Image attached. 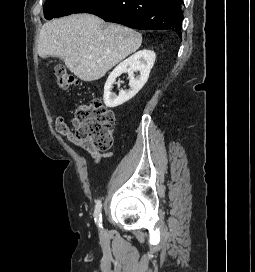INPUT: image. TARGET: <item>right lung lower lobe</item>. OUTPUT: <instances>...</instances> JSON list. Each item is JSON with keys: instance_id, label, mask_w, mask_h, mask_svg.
<instances>
[{"instance_id": "98d812e1", "label": "right lung lower lobe", "mask_w": 255, "mask_h": 272, "mask_svg": "<svg viewBox=\"0 0 255 272\" xmlns=\"http://www.w3.org/2000/svg\"><path fill=\"white\" fill-rule=\"evenodd\" d=\"M182 0H90L74 13H91L134 29L173 30L182 38Z\"/></svg>"}]
</instances>
